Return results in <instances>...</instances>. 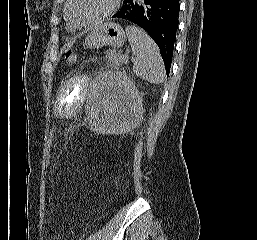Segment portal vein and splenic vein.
I'll list each match as a JSON object with an SVG mask.
<instances>
[{
	"label": "portal vein and splenic vein",
	"instance_id": "1",
	"mask_svg": "<svg viewBox=\"0 0 257 240\" xmlns=\"http://www.w3.org/2000/svg\"><path fill=\"white\" fill-rule=\"evenodd\" d=\"M120 60H121L122 63H125V64H126V63L128 62V57L122 55V56L120 57Z\"/></svg>",
	"mask_w": 257,
	"mask_h": 240
}]
</instances>
